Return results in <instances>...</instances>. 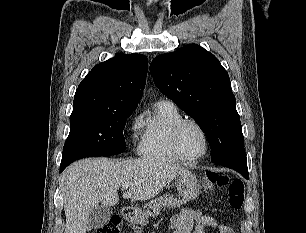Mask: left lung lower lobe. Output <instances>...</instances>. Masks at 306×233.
Here are the masks:
<instances>
[{"label": "left lung lower lobe", "mask_w": 306, "mask_h": 233, "mask_svg": "<svg viewBox=\"0 0 306 233\" xmlns=\"http://www.w3.org/2000/svg\"><path fill=\"white\" fill-rule=\"evenodd\" d=\"M222 165L239 172L240 174H242L247 179L249 178L247 161L246 162H231V163H225V164H222Z\"/></svg>", "instance_id": "obj_1"}]
</instances>
